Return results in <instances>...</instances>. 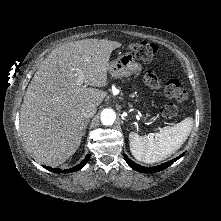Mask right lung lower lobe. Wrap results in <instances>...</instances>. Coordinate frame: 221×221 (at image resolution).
<instances>
[{"label":"right lung lower lobe","mask_w":221,"mask_h":221,"mask_svg":"<svg viewBox=\"0 0 221 221\" xmlns=\"http://www.w3.org/2000/svg\"><path fill=\"white\" fill-rule=\"evenodd\" d=\"M89 157L90 155L87 154L85 159L77 166L73 167V168H70V169H66V170H61V169H58V168H51V167H48V166H44V168H46L47 170L51 171V172H54V173H70V172H75V171H78L80 170L85 164L86 162L89 160Z\"/></svg>","instance_id":"right-lung-lower-lobe-1"}]
</instances>
